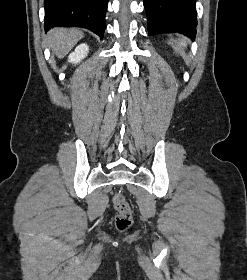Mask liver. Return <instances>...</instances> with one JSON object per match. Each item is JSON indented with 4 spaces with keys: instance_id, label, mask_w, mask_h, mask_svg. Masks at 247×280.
Returning <instances> with one entry per match:
<instances>
[{
    "instance_id": "1",
    "label": "liver",
    "mask_w": 247,
    "mask_h": 280,
    "mask_svg": "<svg viewBox=\"0 0 247 280\" xmlns=\"http://www.w3.org/2000/svg\"><path fill=\"white\" fill-rule=\"evenodd\" d=\"M84 34L78 29L54 28L47 35L48 45L61 59L83 38Z\"/></svg>"
}]
</instances>
